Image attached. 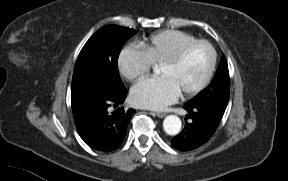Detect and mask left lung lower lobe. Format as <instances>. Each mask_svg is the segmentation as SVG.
I'll use <instances>...</instances> for the list:
<instances>
[{
    "label": "left lung lower lobe",
    "instance_id": "0a47b994",
    "mask_svg": "<svg viewBox=\"0 0 288 181\" xmlns=\"http://www.w3.org/2000/svg\"><path fill=\"white\" fill-rule=\"evenodd\" d=\"M191 123L185 122V128L175 136L172 141V147L180 151H189L206 143L214 134L224 113L211 107L198 105H186Z\"/></svg>",
    "mask_w": 288,
    "mask_h": 181
}]
</instances>
